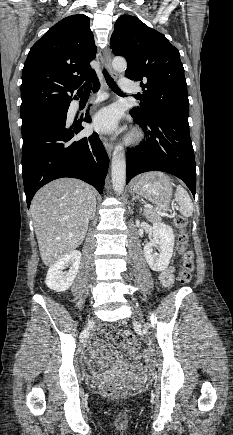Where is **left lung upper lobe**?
<instances>
[{"mask_svg": "<svg viewBox=\"0 0 233 435\" xmlns=\"http://www.w3.org/2000/svg\"><path fill=\"white\" fill-rule=\"evenodd\" d=\"M111 49L126 58L125 76L141 81L139 107L130 114L140 120L187 119L189 100L180 53L168 39L131 15L120 16L111 35Z\"/></svg>", "mask_w": 233, "mask_h": 435, "instance_id": "left-lung-upper-lobe-1", "label": "left lung upper lobe"}]
</instances>
